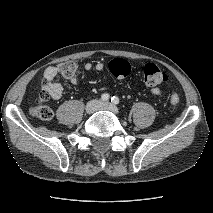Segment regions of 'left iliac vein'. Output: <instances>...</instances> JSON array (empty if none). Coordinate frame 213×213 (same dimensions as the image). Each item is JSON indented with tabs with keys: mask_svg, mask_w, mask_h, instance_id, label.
Segmentation results:
<instances>
[{
	"mask_svg": "<svg viewBox=\"0 0 213 213\" xmlns=\"http://www.w3.org/2000/svg\"><path fill=\"white\" fill-rule=\"evenodd\" d=\"M100 109L101 110H109V111H111V112H113L115 114L119 113L118 108L115 105H113V104H111L109 102L102 103L101 106H100Z\"/></svg>",
	"mask_w": 213,
	"mask_h": 213,
	"instance_id": "1",
	"label": "left iliac vein"
}]
</instances>
